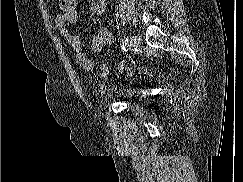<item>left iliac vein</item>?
Instances as JSON below:
<instances>
[{"label":"left iliac vein","mask_w":243,"mask_h":182,"mask_svg":"<svg viewBox=\"0 0 243 182\" xmlns=\"http://www.w3.org/2000/svg\"><path fill=\"white\" fill-rule=\"evenodd\" d=\"M140 45L139 38L137 36L130 37V46L134 49H137Z\"/></svg>","instance_id":"obj_1"}]
</instances>
